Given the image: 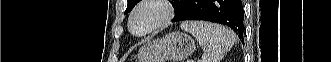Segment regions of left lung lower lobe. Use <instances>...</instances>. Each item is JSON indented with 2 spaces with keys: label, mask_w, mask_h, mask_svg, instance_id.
I'll use <instances>...</instances> for the list:
<instances>
[{
  "label": "left lung lower lobe",
  "mask_w": 331,
  "mask_h": 62,
  "mask_svg": "<svg viewBox=\"0 0 331 62\" xmlns=\"http://www.w3.org/2000/svg\"><path fill=\"white\" fill-rule=\"evenodd\" d=\"M205 20L232 28L243 42L244 10L241 0H187L173 22Z\"/></svg>",
  "instance_id": "obj_1"
}]
</instances>
